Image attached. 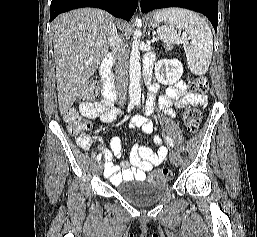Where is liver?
Returning <instances> with one entry per match:
<instances>
[{"instance_id": "6515ba94", "label": "liver", "mask_w": 257, "mask_h": 237, "mask_svg": "<svg viewBox=\"0 0 257 237\" xmlns=\"http://www.w3.org/2000/svg\"><path fill=\"white\" fill-rule=\"evenodd\" d=\"M114 18L84 8L58 16L51 25L58 102L65 115L108 53Z\"/></svg>"}]
</instances>
